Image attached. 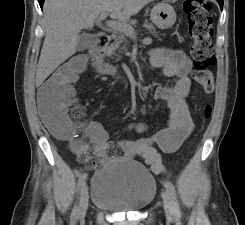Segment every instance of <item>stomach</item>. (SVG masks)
<instances>
[{
	"label": "stomach",
	"mask_w": 245,
	"mask_h": 225,
	"mask_svg": "<svg viewBox=\"0 0 245 225\" xmlns=\"http://www.w3.org/2000/svg\"><path fill=\"white\" fill-rule=\"evenodd\" d=\"M150 19L159 29L164 30L174 25L176 13L170 4L162 2L154 5Z\"/></svg>",
	"instance_id": "obj_1"
}]
</instances>
